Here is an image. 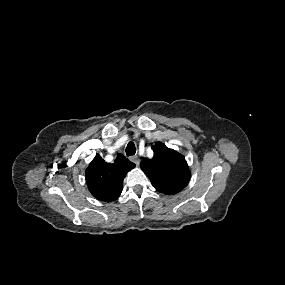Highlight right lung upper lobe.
<instances>
[{
  "mask_svg": "<svg viewBox=\"0 0 285 285\" xmlns=\"http://www.w3.org/2000/svg\"><path fill=\"white\" fill-rule=\"evenodd\" d=\"M134 167L135 164L123 155H118L113 163H107L96 154L85 173L89 191L98 200L115 201L122 192L124 177Z\"/></svg>",
  "mask_w": 285,
  "mask_h": 285,
  "instance_id": "obj_1",
  "label": "right lung upper lobe"
}]
</instances>
